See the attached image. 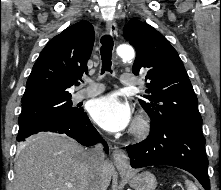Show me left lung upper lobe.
<instances>
[{"label":"left lung upper lobe","instance_id":"left-lung-upper-lobe-1","mask_svg":"<svg viewBox=\"0 0 221 190\" xmlns=\"http://www.w3.org/2000/svg\"><path fill=\"white\" fill-rule=\"evenodd\" d=\"M125 38L136 48L132 72L149 81L150 95L139 101L152 123L170 121L203 135L198 100L177 51L156 29L136 19L128 22Z\"/></svg>","mask_w":221,"mask_h":190}]
</instances>
